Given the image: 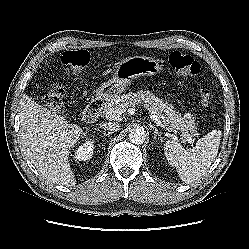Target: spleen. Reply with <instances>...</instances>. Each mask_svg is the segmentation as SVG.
Listing matches in <instances>:
<instances>
[{
  "label": "spleen",
  "mask_w": 249,
  "mask_h": 249,
  "mask_svg": "<svg viewBox=\"0 0 249 249\" xmlns=\"http://www.w3.org/2000/svg\"><path fill=\"white\" fill-rule=\"evenodd\" d=\"M220 138L221 131L212 130L189 149H184L177 141L168 140L164 144V153L170 165L176 167L180 179L192 182L203 176L214 162Z\"/></svg>",
  "instance_id": "1"
}]
</instances>
